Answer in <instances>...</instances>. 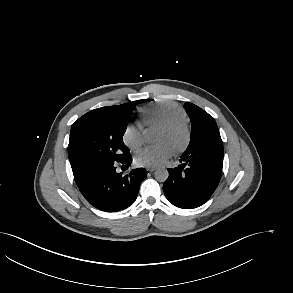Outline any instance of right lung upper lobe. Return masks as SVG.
I'll return each mask as SVG.
<instances>
[{"instance_id":"obj_1","label":"right lung upper lobe","mask_w":293,"mask_h":293,"mask_svg":"<svg viewBox=\"0 0 293 293\" xmlns=\"http://www.w3.org/2000/svg\"><path fill=\"white\" fill-rule=\"evenodd\" d=\"M110 107H111V106H110ZM103 108H107V107H103ZM103 108H99V109H103ZM95 110H98V109H95ZM92 111H93V110H92ZM85 177H86V176H75V175H74V179H75L76 184L81 183Z\"/></svg>"}]
</instances>
